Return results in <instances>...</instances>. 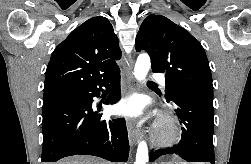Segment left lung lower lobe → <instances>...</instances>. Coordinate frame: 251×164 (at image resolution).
<instances>
[{"label":"left lung lower lobe","instance_id":"1","mask_svg":"<svg viewBox=\"0 0 251 164\" xmlns=\"http://www.w3.org/2000/svg\"><path fill=\"white\" fill-rule=\"evenodd\" d=\"M171 101L181 119L182 139L178 145L168 150L151 151L149 161L153 162L161 155L175 154L187 162L214 164L213 99L199 95L180 94L173 97Z\"/></svg>","mask_w":251,"mask_h":164}]
</instances>
